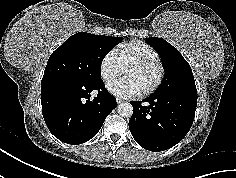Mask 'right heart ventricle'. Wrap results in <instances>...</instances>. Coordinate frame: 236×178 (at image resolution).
Instances as JSON below:
<instances>
[{
    "label": "right heart ventricle",
    "mask_w": 236,
    "mask_h": 178,
    "mask_svg": "<svg viewBox=\"0 0 236 178\" xmlns=\"http://www.w3.org/2000/svg\"><path fill=\"white\" fill-rule=\"evenodd\" d=\"M114 54L123 69L132 61L159 59L158 53L150 45L138 40L121 44Z\"/></svg>",
    "instance_id": "1"
}]
</instances>
